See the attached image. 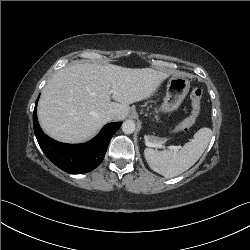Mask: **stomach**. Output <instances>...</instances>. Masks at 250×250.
<instances>
[{
  "instance_id": "obj_1",
  "label": "stomach",
  "mask_w": 250,
  "mask_h": 250,
  "mask_svg": "<svg viewBox=\"0 0 250 250\" xmlns=\"http://www.w3.org/2000/svg\"><path fill=\"white\" fill-rule=\"evenodd\" d=\"M190 89V81L183 76L173 75L167 84L166 96L159 111L162 113H171L176 111Z\"/></svg>"
}]
</instances>
